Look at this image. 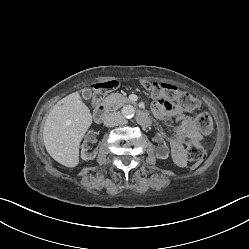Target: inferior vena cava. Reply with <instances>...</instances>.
Listing matches in <instances>:
<instances>
[{"label": "inferior vena cava", "instance_id": "obj_1", "mask_svg": "<svg viewBox=\"0 0 249 249\" xmlns=\"http://www.w3.org/2000/svg\"><path fill=\"white\" fill-rule=\"evenodd\" d=\"M125 123V118L117 112L108 114L104 119V125L106 127L118 126Z\"/></svg>", "mask_w": 249, "mask_h": 249}]
</instances>
